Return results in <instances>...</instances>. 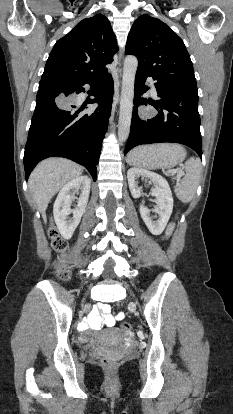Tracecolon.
Returning <instances> with one entry per match:
<instances>
[{
  "mask_svg": "<svg viewBox=\"0 0 233 414\" xmlns=\"http://www.w3.org/2000/svg\"><path fill=\"white\" fill-rule=\"evenodd\" d=\"M174 229V223H171L165 233L164 238H168ZM49 238L51 240V244L53 249L60 255H62L66 249V242L60 237L58 231L51 227L48 231ZM57 275L62 279H67L69 277V270L66 267L60 266L56 269ZM120 328L123 331H130L131 324L127 321H123L120 323ZM101 365L106 369H113L115 366V361L110 357H101L99 359Z\"/></svg>",
  "mask_w": 233,
  "mask_h": 414,
  "instance_id": "obj_1",
  "label": "colon"
}]
</instances>
